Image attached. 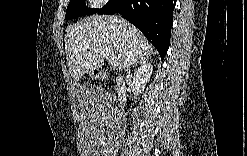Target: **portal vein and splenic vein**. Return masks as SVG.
Listing matches in <instances>:
<instances>
[{"mask_svg":"<svg viewBox=\"0 0 247 156\" xmlns=\"http://www.w3.org/2000/svg\"><path fill=\"white\" fill-rule=\"evenodd\" d=\"M109 64L111 67H117V62L114 59H109Z\"/></svg>","mask_w":247,"mask_h":156,"instance_id":"1","label":"portal vein and splenic vein"}]
</instances>
